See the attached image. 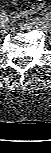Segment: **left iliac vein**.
<instances>
[{
  "label": "left iliac vein",
  "mask_w": 51,
  "mask_h": 153,
  "mask_svg": "<svg viewBox=\"0 0 51 153\" xmlns=\"http://www.w3.org/2000/svg\"><path fill=\"white\" fill-rule=\"evenodd\" d=\"M25 27L27 29L42 30L43 32H46L49 28L47 25L43 24L42 22H26Z\"/></svg>",
  "instance_id": "1"
}]
</instances>
